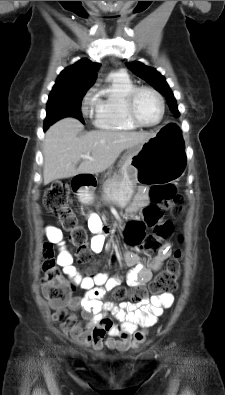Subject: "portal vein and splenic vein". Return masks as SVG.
<instances>
[{"mask_svg":"<svg viewBox=\"0 0 225 395\" xmlns=\"http://www.w3.org/2000/svg\"><path fill=\"white\" fill-rule=\"evenodd\" d=\"M82 158L83 159H90V160H92V157L89 154L82 155Z\"/></svg>","mask_w":225,"mask_h":395,"instance_id":"1","label":"portal vein and splenic vein"}]
</instances>
